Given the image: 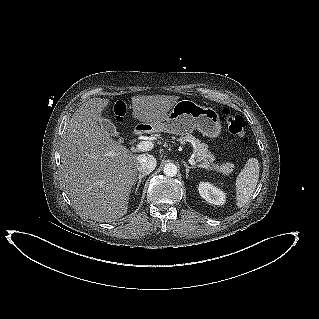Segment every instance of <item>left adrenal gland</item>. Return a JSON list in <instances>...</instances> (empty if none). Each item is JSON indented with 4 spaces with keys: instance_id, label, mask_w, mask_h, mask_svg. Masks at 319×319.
<instances>
[{
    "instance_id": "a2214340",
    "label": "left adrenal gland",
    "mask_w": 319,
    "mask_h": 319,
    "mask_svg": "<svg viewBox=\"0 0 319 319\" xmlns=\"http://www.w3.org/2000/svg\"><path fill=\"white\" fill-rule=\"evenodd\" d=\"M183 164H184V166L186 168V178L188 179L189 178V171L191 169H193L194 167L193 166H189L185 161H183Z\"/></svg>"
}]
</instances>
